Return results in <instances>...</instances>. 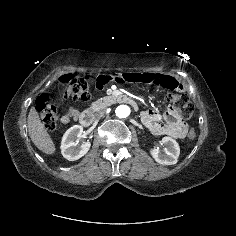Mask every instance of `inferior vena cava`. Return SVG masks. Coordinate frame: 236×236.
I'll list each match as a JSON object with an SVG mask.
<instances>
[{
	"instance_id": "inferior-vena-cava-1",
	"label": "inferior vena cava",
	"mask_w": 236,
	"mask_h": 236,
	"mask_svg": "<svg viewBox=\"0 0 236 236\" xmlns=\"http://www.w3.org/2000/svg\"><path fill=\"white\" fill-rule=\"evenodd\" d=\"M103 116V112H99L95 115V120L100 119Z\"/></svg>"
}]
</instances>
